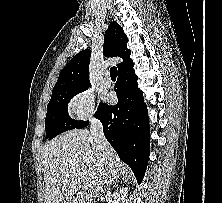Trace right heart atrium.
<instances>
[{"instance_id": "right-heart-atrium-1", "label": "right heart atrium", "mask_w": 222, "mask_h": 203, "mask_svg": "<svg viewBox=\"0 0 222 203\" xmlns=\"http://www.w3.org/2000/svg\"><path fill=\"white\" fill-rule=\"evenodd\" d=\"M68 108L70 114L78 120L90 118L95 111L93 94L88 90L78 92L71 98Z\"/></svg>"}]
</instances>
